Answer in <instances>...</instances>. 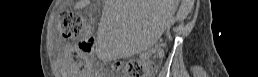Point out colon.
<instances>
[{"label": "colon", "instance_id": "colon-1", "mask_svg": "<svg viewBox=\"0 0 258 77\" xmlns=\"http://www.w3.org/2000/svg\"><path fill=\"white\" fill-rule=\"evenodd\" d=\"M86 30L82 16L75 12L64 13L60 17V31L64 38H79L78 47L82 53L91 54L94 49L92 35L80 37ZM156 69V63L145 59H131L127 64V73L130 77H148Z\"/></svg>", "mask_w": 258, "mask_h": 77}]
</instances>
